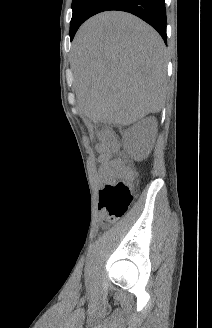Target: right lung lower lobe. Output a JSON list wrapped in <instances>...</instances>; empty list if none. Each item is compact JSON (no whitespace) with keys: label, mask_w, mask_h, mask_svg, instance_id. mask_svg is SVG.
<instances>
[{"label":"right lung lower lobe","mask_w":212,"mask_h":328,"mask_svg":"<svg viewBox=\"0 0 212 328\" xmlns=\"http://www.w3.org/2000/svg\"><path fill=\"white\" fill-rule=\"evenodd\" d=\"M109 10L125 11L138 16L155 28L166 43L165 0H95L86 20L97 13ZM73 37L71 36V40Z\"/></svg>","instance_id":"98d812e1"}]
</instances>
